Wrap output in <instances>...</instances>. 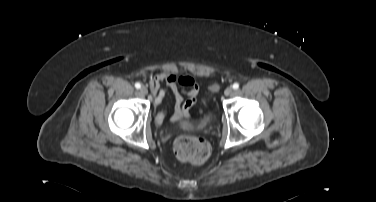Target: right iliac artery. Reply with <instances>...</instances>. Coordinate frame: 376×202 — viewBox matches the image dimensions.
<instances>
[{"label": "right iliac artery", "mask_w": 376, "mask_h": 202, "mask_svg": "<svg viewBox=\"0 0 376 202\" xmlns=\"http://www.w3.org/2000/svg\"><path fill=\"white\" fill-rule=\"evenodd\" d=\"M135 87L139 89L141 87V84L139 82L135 83Z\"/></svg>", "instance_id": "obj_1"}]
</instances>
